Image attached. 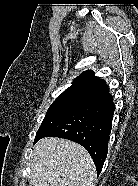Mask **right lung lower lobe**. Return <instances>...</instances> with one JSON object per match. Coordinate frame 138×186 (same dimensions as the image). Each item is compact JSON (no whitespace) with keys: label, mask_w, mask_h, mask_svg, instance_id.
Segmentation results:
<instances>
[{"label":"right lung lower lobe","mask_w":138,"mask_h":186,"mask_svg":"<svg viewBox=\"0 0 138 186\" xmlns=\"http://www.w3.org/2000/svg\"><path fill=\"white\" fill-rule=\"evenodd\" d=\"M114 109L108 89L92 91V97L86 104L58 122L41 138L61 137L82 145L91 155L99 175L108 152Z\"/></svg>","instance_id":"98d812e1"}]
</instances>
